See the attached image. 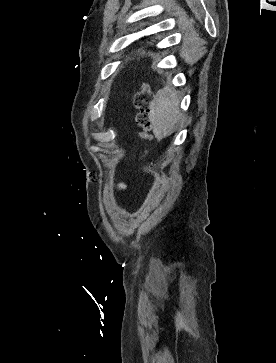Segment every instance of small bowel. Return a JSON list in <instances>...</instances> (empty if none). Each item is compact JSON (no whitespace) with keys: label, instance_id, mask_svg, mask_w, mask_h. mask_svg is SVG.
I'll list each match as a JSON object with an SVG mask.
<instances>
[{"label":"small bowel","instance_id":"small-bowel-1","mask_svg":"<svg viewBox=\"0 0 276 363\" xmlns=\"http://www.w3.org/2000/svg\"><path fill=\"white\" fill-rule=\"evenodd\" d=\"M114 186L119 190H126L127 186L124 182H115Z\"/></svg>","mask_w":276,"mask_h":363}]
</instances>
